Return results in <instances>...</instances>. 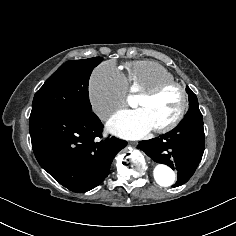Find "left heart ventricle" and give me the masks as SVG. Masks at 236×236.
<instances>
[{"mask_svg":"<svg viewBox=\"0 0 236 236\" xmlns=\"http://www.w3.org/2000/svg\"><path fill=\"white\" fill-rule=\"evenodd\" d=\"M130 102L142 109L152 129L170 122L178 113L181 97L177 90L169 89L151 100L130 96Z\"/></svg>","mask_w":236,"mask_h":236,"instance_id":"left-heart-ventricle-1","label":"left heart ventricle"}]
</instances>
